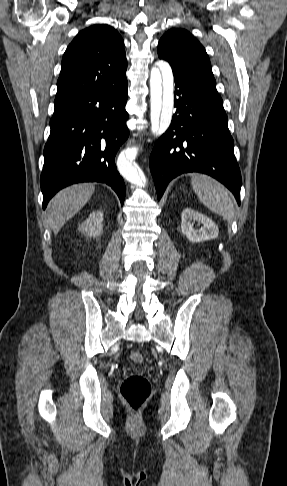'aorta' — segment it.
<instances>
[{"instance_id": "aorta-1", "label": "aorta", "mask_w": 287, "mask_h": 486, "mask_svg": "<svg viewBox=\"0 0 287 486\" xmlns=\"http://www.w3.org/2000/svg\"><path fill=\"white\" fill-rule=\"evenodd\" d=\"M174 78L170 65L159 62L153 67L150 76V103H151V132L157 136L162 135L169 128L173 115L174 104ZM137 148L128 149L125 157L119 161L118 167L121 175L134 185H142L139 167L133 160L137 155Z\"/></svg>"}]
</instances>
